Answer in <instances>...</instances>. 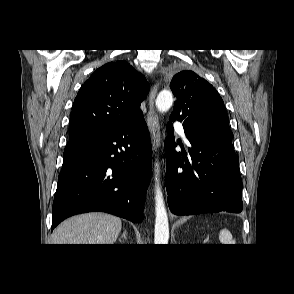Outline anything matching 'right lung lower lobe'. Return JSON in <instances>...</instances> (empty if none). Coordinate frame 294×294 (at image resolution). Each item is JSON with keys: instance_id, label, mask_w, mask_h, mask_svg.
I'll return each instance as SVG.
<instances>
[{"instance_id": "right-lung-lower-lobe-1", "label": "right lung lower lobe", "mask_w": 294, "mask_h": 294, "mask_svg": "<svg viewBox=\"0 0 294 294\" xmlns=\"http://www.w3.org/2000/svg\"><path fill=\"white\" fill-rule=\"evenodd\" d=\"M142 112L108 131L70 140L52 209V229L79 213L103 211L141 222L151 174Z\"/></svg>"}]
</instances>
